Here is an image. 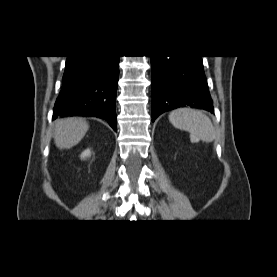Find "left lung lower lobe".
Returning a JSON list of instances; mask_svg holds the SVG:
<instances>
[{"instance_id": "0a47b994", "label": "left lung lower lobe", "mask_w": 277, "mask_h": 277, "mask_svg": "<svg viewBox=\"0 0 277 277\" xmlns=\"http://www.w3.org/2000/svg\"><path fill=\"white\" fill-rule=\"evenodd\" d=\"M152 121L190 106L213 112L201 56H151Z\"/></svg>"}]
</instances>
